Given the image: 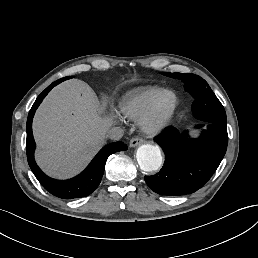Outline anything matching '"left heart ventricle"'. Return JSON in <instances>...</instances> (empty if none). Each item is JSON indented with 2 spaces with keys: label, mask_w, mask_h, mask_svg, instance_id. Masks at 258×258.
Listing matches in <instances>:
<instances>
[{
  "label": "left heart ventricle",
  "mask_w": 258,
  "mask_h": 258,
  "mask_svg": "<svg viewBox=\"0 0 258 258\" xmlns=\"http://www.w3.org/2000/svg\"><path fill=\"white\" fill-rule=\"evenodd\" d=\"M169 104H170V101L168 98H163L162 101H161V106L163 108H168L169 107ZM147 127L148 128H152L153 127V124L152 123H149L147 124Z\"/></svg>",
  "instance_id": "b2bd125f"
}]
</instances>
